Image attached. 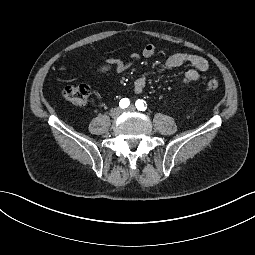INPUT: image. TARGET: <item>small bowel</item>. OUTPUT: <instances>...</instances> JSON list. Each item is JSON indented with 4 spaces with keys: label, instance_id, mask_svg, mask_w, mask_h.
<instances>
[{
    "label": "small bowel",
    "instance_id": "small-bowel-1",
    "mask_svg": "<svg viewBox=\"0 0 255 255\" xmlns=\"http://www.w3.org/2000/svg\"><path fill=\"white\" fill-rule=\"evenodd\" d=\"M156 53V47L153 44H147L142 51V56L144 58H151ZM138 55L133 54L131 56V60L128 62H124L119 59H110L107 60L103 65H101L97 72L99 74H105L112 69H115L118 72H122L126 70L132 63L133 60L137 59ZM185 64L191 65L193 68L188 69L183 77L182 84H189L199 79L200 74L209 69V61L199 55L188 54V53H175L170 55L163 62L159 63L156 66L157 71H163L167 69H174L181 67ZM148 75L149 73L143 74L136 78L133 82V90L135 93L140 94L143 92L148 83Z\"/></svg>",
    "mask_w": 255,
    "mask_h": 255
}]
</instances>
